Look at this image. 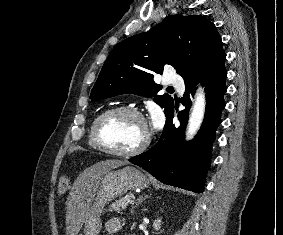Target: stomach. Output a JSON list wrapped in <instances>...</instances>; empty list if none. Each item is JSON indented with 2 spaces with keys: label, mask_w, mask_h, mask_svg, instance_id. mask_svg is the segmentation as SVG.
Here are the masks:
<instances>
[{
  "label": "stomach",
  "mask_w": 283,
  "mask_h": 235,
  "mask_svg": "<svg viewBox=\"0 0 283 235\" xmlns=\"http://www.w3.org/2000/svg\"><path fill=\"white\" fill-rule=\"evenodd\" d=\"M148 186L147 176L133 166L107 172L99 182L86 215L84 235H98L102 228L101 215L108 201L124 195L129 190L144 189Z\"/></svg>",
  "instance_id": "1"
}]
</instances>
